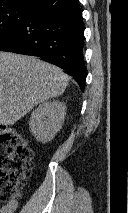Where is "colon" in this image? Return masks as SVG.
<instances>
[{
    "mask_svg": "<svg viewBox=\"0 0 128 213\" xmlns=\"http://www.w3.org/2000/svg\"><path fill=\"white\" fill-rule=\"evenodd\" d=\"M0 143L5 154L0 158V203L14 200L20 195L30 175L33 151L26 139L16 130L0 126Z\"/></svg>",
    "mask_w": 128,
    "mask_h": 213,
    "instance_id": "1",
    "label": "colon"
}]
</instances>
